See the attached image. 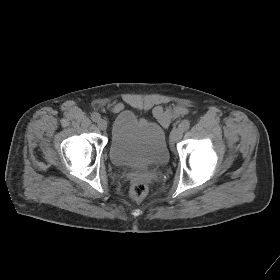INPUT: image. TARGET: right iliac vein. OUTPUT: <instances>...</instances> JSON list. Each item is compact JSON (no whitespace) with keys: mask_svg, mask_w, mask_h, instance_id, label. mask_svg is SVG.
Listing matches in <instances>:
<instances>
[{"mask_svg":"<svg viewBox=\"0 0 280 280\" xmlns=\"http://www.w3.org/2000/svg\"><path fill=\"white\" fill-rule=\"evenodd\" d=\"M100 130H106L107 122L104 119H100L97 123Z\"/></svg>","mask_w":280,"mask_h":280,"instance_id":"1","label":"right iliac vein"}]
</instances>
